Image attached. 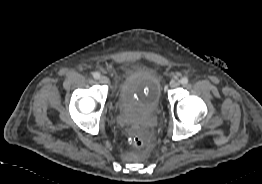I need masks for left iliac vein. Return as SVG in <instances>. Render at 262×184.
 <instances>
[{"label": "left iliac vein", "instance_id": "obj_1", "mask_svg": "<svg viewBox=\"0 0 262 184\" xmlns=\"http://www.w3.org/2000/svg\"><path fill=\"white\" fill-rule=\"evenodd\" d=\"M180 85V83H179V81H177V80H172L171 82H170V87L171 88H177L178 86Z\"/></svg>", "mask_w": 262, "mask_h": 184}]
</instances>
